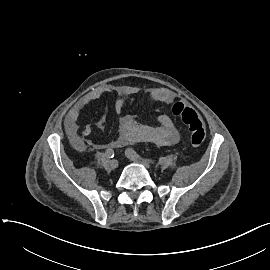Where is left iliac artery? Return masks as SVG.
Wrapping results in <instances>:
<instances>
[{
    "label": "left iliac artery",
    "mask_w": 270,
    "mask_h": 270,
    "mask_svg": "<svg viewBox=\"0 0 270 270\" xmlns=\"http://www.w3.org/2000/svg\"><path fill=\"white\" fill-rule=\"evenodd\" d=\"M126 153L130 154L133 157L139 158V159H144L143 157H141L135 150H133L132 148H128L126 150ZM148 162L154 163V160L152 159H145Z\"/></svg>",
    "instance_id": "left-iliac-artery-1"
}]
</instances>
